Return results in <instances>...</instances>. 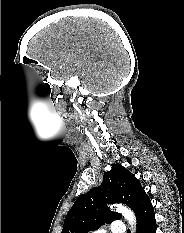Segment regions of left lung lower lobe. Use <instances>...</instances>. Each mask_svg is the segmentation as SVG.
I'll use <instances>...</instances> for the list:
<instances>
[{"label": "left lung lower lobe", "mask_w": 184, "mask_h": 233, "mask_svg": "<svg viewBox=\"0 0 184 233\" xmlns=\"http://www.w3.org/2000/svg\"><path fill=\"white\" fill-rule=\"evenodd\" d=\"M133 211L137 218L136 233H156L155 213L147 194L138 201Z\"/></svg>", "instance_id": "left-lung-lower-lobe-1"}]
</instances>
